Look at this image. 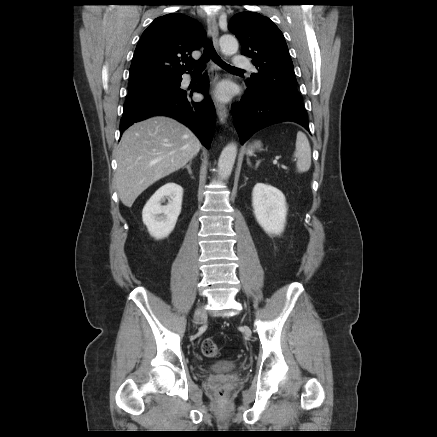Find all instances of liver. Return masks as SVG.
I'll list each match as a JSON object with an SVG mask.
<instances>
[{"label":"liver","mask_w":437,"mask_h":437,"mask_svg":"<svg viewBox=\"0 0 437 437\" xmlns=\"http://www.w3.org/2000/svg\"><path fill=\"white\" fill-rule=\"evenodd\" d=\"M200 148L193 132L172 118L156 116L133 124L116 150L121 202L130 208L144 190L185 166Z\"/></svg>","instance_id":"6515ba94"}]
</instances>
